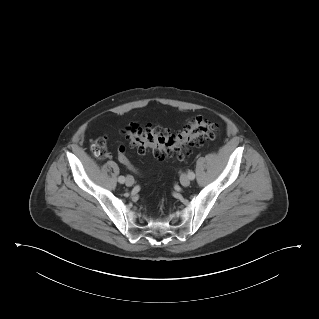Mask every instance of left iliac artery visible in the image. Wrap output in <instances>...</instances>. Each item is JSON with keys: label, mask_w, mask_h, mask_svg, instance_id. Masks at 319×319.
Here are the masks:
<instances>
[{"label": "left iliac artery", "mask_w": 319, "mask_h": 319, "mask_svg": "<svg viewBox=\"0 0 319 319\" xmlns=\"http://www.w3.org/2000/svg\"><path fill=\"white\" fill-rule=\"evenodd\" d=\"M188 177L190 180H193L195 178V174L193 172H188Z\"/></svg>", "instance_id": "left-iliac-artery-1"}]
</instances>
